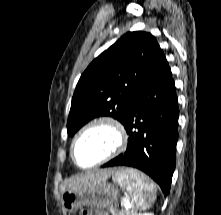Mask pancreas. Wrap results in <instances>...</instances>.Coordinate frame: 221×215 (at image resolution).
I'll return each mask as SVG.
<instances>
[{"mask_svg":"<svg viewBox=\"0 0 221 215\" xmlns=\"http://www.w3.org/2000/svg\"><path fill=\"white\" fill-rule=\"evenodd\" d=\"M113 215H136V213L133 210H123V211H113Z\"/></svg>","mask_w":221,"mask_h":215,"instance_id":"pancreas-1","label":"pancreas"}]
</instances>
